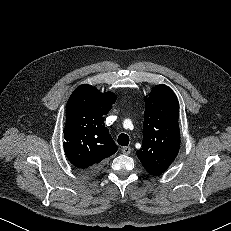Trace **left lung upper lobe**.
<instances>
[{"label": "left lung upper lobe", "instance_id": "left-lung-upper-lobe-1", "mask_svg": "<svg viewBox=\"0 0 231 231\" xmlns=\"http://www.w3.org/2000/svg\"><path fill=\"white\" fill-rule=\"evenodd\" d=\"M178 99L171 88L160 84L145 100L142 148L136 152L152 175L168 169L180 148Z\"/></svg>", "mask_w": 231, "mask_h": 231}]
</instances>
